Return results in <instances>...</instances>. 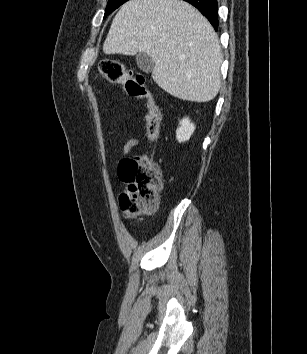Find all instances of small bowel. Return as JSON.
<instances>
[{
  "mask_svg": "<svg viewBox=\"0 0 307 354\" xmlns=\"http://www.w3.org/2000/svg\"><path fill=\"white\" fill-rule=\"evenodd\" d=\"M141 144V139L140 138H129L128 140L125 141L123 144L121 154L122 155H127L129 154L132 149L135 147L139 146Z\"/></svg>",
  "mask_w": 307,
  "mask_h": 354,
  "instance_id": "1",
  "label": "small bowel"
}]
</instances>
